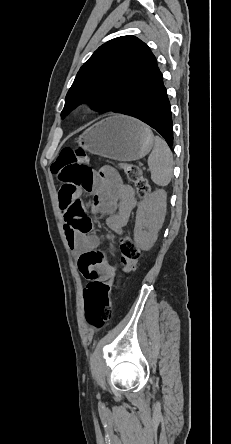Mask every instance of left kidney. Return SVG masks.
<instances>
[{
	"label": "left kidney",
	"mask_w": 231,
	"mask_h": 444,
	"mask_svg": "<svg viewBox=\"0 0 231 444\" xmlns=\"http://www.w3.org/2000/svg\"><path fill=\"white\" fill-rule=\"evenodd\" d=\"M167 193L160 189L148 195L138 206L134 240L139 248L148 251L157 240L166 215Z\"/></svg>",
	"instance_id": "1"
}]
</instances>
